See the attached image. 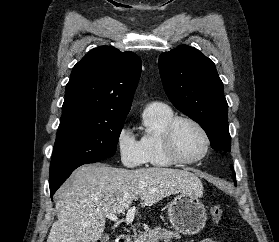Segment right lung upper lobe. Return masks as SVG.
<instances>
[{
	"mask_svg": "<svg viewBox=\"0 0 279 242\" xmlns=\"http://www.w3.org/2000/svg\"><path fill=\"white\" fill-rule=\"evenodd\" d=\"M140 73L141 60L131 51L110 46L91 50L73 67L62 114L126 118Z\"/></svg>",
	"mask_w": 279,
	"mask_h": 242,
	"instance_id": "obj_1",
	"label": "right lung upper lobe"
}]
</instances>
